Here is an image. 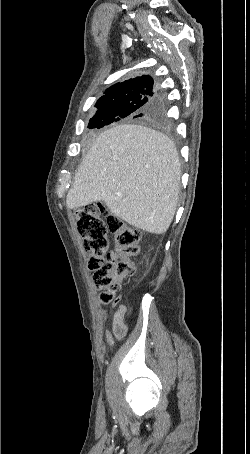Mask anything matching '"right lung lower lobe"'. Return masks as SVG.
Wrapping results in <instances>:
<instances>
[{
  "mask_svg": "<svg viewBox=\"0 0 250 454\" xmlns=\"http://www.w3.org/2000/svg\"><path fill=\"white\" fill-rule=\"evenodd\" d=\"M154 113L156 114L157 117L159 118H165L166 114V104H165V99L164 97H161L157 101L154 102L152 105V108Z\"/></svg>",
  "mask_w": 250,
  "mask_h": 454,
  "instance_id": "obj_1",
  "label": "right lung lower lobe"
}]
</instances>
